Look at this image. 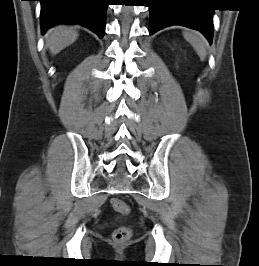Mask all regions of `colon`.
Wrapping results in <instances>:
<instances>
[{
    "label": "colon",
    "instance_id": "obj_1",
    "mask_svg": "<svg viewBox=\"0 0 259 266\" xmlns=\"http://www.w3.org/2000/svg\"><path fill=\"white\" fill-rule=\"evenodd\" d=\"M111 205L116 212L123 215H127L130 211L129 206L124 201L118 198L112 199ZM131 235L132 231L130 228L120 227L114 232L113 238L117 242H126L131 238Z\"/></svg>",
    "mask_w": 259,
    "mask_h": 266
}]
</instances>
